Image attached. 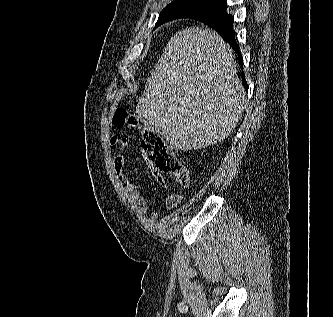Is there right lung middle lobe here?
<instances>
[{
    "mask_svg": "<svg viewBox=\"0 0 333 317\" xmlns=\"http://www.w3.org/2000/svg\"><path fill=\"white\" fill-rule=\"evenodd\" d=\"M226 5L223 0H174L160 13L156 26L174 19L210 13Z\"/></svg>",
    "mask_w": 333,
    "mask_h": 317,
    "instance_id": "obj_1",
    "label": "right lung middle lobe"
}]
</instances>
